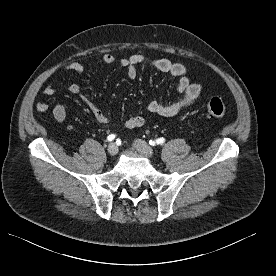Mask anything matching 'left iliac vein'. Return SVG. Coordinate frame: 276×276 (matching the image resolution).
I'll return each mask as SVG.
<instances>
[{"label": "left iliac vein", "instance_id": "4c4485c4", "mask_svg": "<svg viewBox=\"0 0 276 276\" xmlns=\"http://www.w3.org/2000/svg\"><path fill=\"white\" fill-rule=\"evenodd\" d=\"M133 146L144 157L151 158L154 155L153 149L143 140L136 139Z\"/></svg>", "mask_w": 276, "mask_h": 276}]
</instances>
